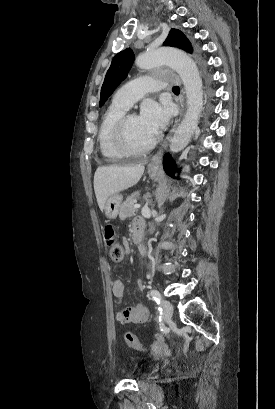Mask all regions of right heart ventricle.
Returning <instances> with one entry per match:
<instances>
[{
  "instance_id": "e07e8e85",
  "label": "right heart ventricle",
  "mask_w": 275,
  "mask_h": 409,
  "mask_svg": "<svg viewBox=\"0 0 275 409\" xmlns=\"http://www.w3.org/2000/svg\"><path fill=\"white\" fill-rule=\"evenodd\" d=\"M126 109L112 103L106 110L100 123L97 141L103 157H124L116 144V127L126 114Z\"/></svg>"
}]
</instances>
